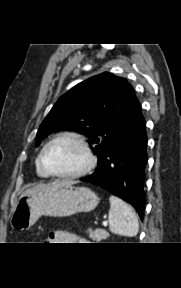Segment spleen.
Instances as JSON below:
<instances>
[{
  "mask_svg": "<svg viewBox=\"0 0 181 288\" xmlns=\"http://www.w3.org/2000/svg\"><path fill=\"white\" fill-rule=\"evenodd\" d=\"M109 201L108 221L110 231L114 234L127 237L137 235L139 223L132 207L113 195L110 196Z\"/></svg>",
  "mask_w": 181,
  "mask_h": 288,
  "instance_id": "3e777b00",
  "label": "spleen"
}]
</instances>
